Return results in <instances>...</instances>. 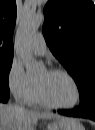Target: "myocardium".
Here are the masks:
<instances>
[{
  "label": "myocardium",
  "mask_w": 95,
  "mask_h": 130,
  "mask_svg": "<svg viewBox=\"0 0 95 130\" xmlns=\"http://www.w3.org/2000/svg\"><path fill=\"white\" fill-rule=\"evenodd\" d=\"M47 72L50 74H62L64 76H66L75 86L77 97H76V101L71 105L55 104L45 96L40 85L38 83H36L37 93H38V96H39V99L41 100V102L44 105L51 107V108H55V109H73V108L77 107L80 104L81 99H82L81 88H80V85L77 82V80L69 72H67L66 70L61 69V68H51V69L47 70Z\"/></svg>",
  "instance_id": "f54148a6"
}]
</instances>
